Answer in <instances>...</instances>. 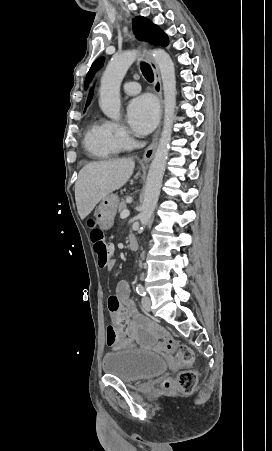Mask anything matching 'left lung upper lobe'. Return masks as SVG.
Segmentation results:
<instances>
[{
  "instance_id": "5c2ea615",
  "label": "left lung upper lobe",
  "mask_w": 272,
  "mask_h": 451,
  "mask_svg": "<svg viewBox=\"0 0 272 451\" xmlns=\"http://www.w3.org/2000/svg\"><path fill=\"white\" fill-rule=\"evenodd\" d=\"M133 31L139 40L147 41L150 44L158 46H167L168 37L157 25L153 24L149 19L137 16L133 20ZM105 58H98L91 66L85 81V88L88 87V83L91 81L93 74L101 68Z\"/></svg>"
}]
</instances>
